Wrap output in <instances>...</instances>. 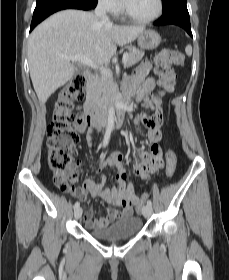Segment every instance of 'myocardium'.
Instances as JSON below:
<instances>
[{
	"instance_id": "myocardium-1",
	"label": "myocardium",
	"mask_w": 229,
	"mask_h": 280,
	"mask_svg": "<svg viewBox=\"0 0 229 280\" xmlns=\"http://www.w3.org/2000/svg\"><path fill=\"white\" fill-rule=\"evenodd\" d=\"M157 2V8L156 11L147 17H136L132 14H130L125 5L122 7V12L125 15L127 19H129L132 22L138 23V24H149L155 20H157L159 17L162 16L164 11V1L163 0H156Z\"/></svg>"
}]
</instances>
